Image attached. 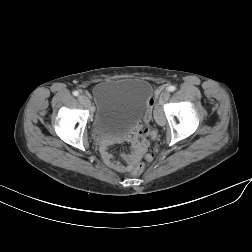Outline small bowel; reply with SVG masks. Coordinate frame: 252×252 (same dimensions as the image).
Returning <instances> with one entry per match:
<instances>
[{
    "label": "small bowel",
    "mask_w": 252,
    "mask_h": 252,
    "mask_svg": "<svg viewBox=\"0 0 252 252\" xmlns=\"http://www.w3.org/2000/svg\"><path fill=\"white\" fill-rule=\"evenodd\" d=\"M151 134L147 121L137 119L126 134L125 138L131 145V152H123L121 158L123 162L116 161L111 154L105 149L103 151V159L108 167L118 172L131 170L132 167L139 162L144 156L149 146L148 137ZM147 158V156H145Z\"/></svg>",
    "instance_id": "c3829d8e"
}]
</instances>
